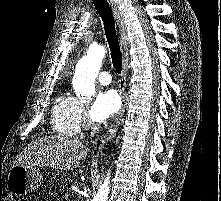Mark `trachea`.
<instances>
[{
    "instance_id": "3493384b",
    "label": "trachea",
    "mask_w": 221,
    "mask_h": 201,
    "mask_svg": "<svg viewBox=\"0 0 221 201\" xmlns=\"http://www.w3.org/2000/svg\"><path fill=\"white\" fill-rule=\"evenodd\" d=\"M93 3L100 14L104 24L106 38L111 51L112 64L118 74L122 70V54L115 30V22L111 9L105 0H93Z\"/></svg>"
}]
</instances>
